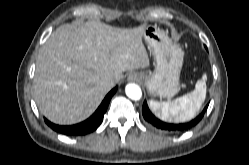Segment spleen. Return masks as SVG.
Segmentation results:
<instances>
[{
	"mask_svg": "<svg viewBox=\"0 0 249 165\" xmlns=\"http://www.w3.org/2000/svg\"><path fill=\"white\" fill-rule=\"evenodd\" d=\"M206 74L195 84V90L172 102L149 101L154 114L168 122H185L195 117L206 98Z\"/></svg>",
	"mask_w": 249,
	"mask_h": 165,
	"instance_id": "3e777b00",
	"label": "spleen"
}]
</instances>
